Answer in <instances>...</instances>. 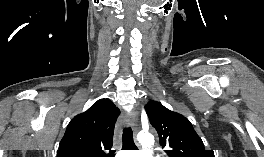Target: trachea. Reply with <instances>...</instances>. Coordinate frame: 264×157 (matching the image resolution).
Masks as SVG:
<instances>
[{
	"mask_svg": "<svg viewBox=\"0 0 264 157\" xmlns=\"http://www.w3.org/2000/svg\"><path fill=\"white\" fill-rule=\"evenodd\" d=\"M122 142V150H137V147L133 141V132L130 127L123 130Z\"/></svg>",
	"mask_w": 264,
	"mask_h": 157,
	"instance_id": "3493384b",
	"label": "trachea"
}]
</instances>
